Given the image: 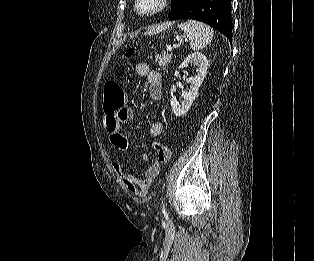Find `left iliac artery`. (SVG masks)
Wrapping results in <instances>:
<instances>
[{
    "instance_id": "left-iliac-artery-1",
    "label": "left iliac artery",
    "mask_w": 314,
    "mask_h": 261,
    "mask_svg": "<svg viewBox=\"0 0 314 261\" xmlns=\"http://www.w3.org/2000/svg\"><path fill=\"white\" fill-rule=\"evenodd\" d=\"M162 204H163V206H162V213H163L164 215H166V214H167V211H166V209H165V201H164Z\"/></svg>"
}]
</instances>
